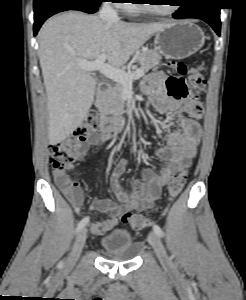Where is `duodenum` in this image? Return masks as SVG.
Instances as JSON below:
<instances>
[{"mask_svg":"<svg viewBox=\"0 0 246 300\" xmlns=\"http://www.w3.org/2000/svg\"><path fill=\"white\" fill-rule=\"evenodd\" d=\"M108 88L107 83L101 84L100 93L103 94ZM129 126V121L125 114L117 116H105L101 121V131L104 133L121 132L123 129Z\"/></svg>","mask_w":246,"mask_h":300,"instance_id":"1","label":"duodenum"}]
</instances>
